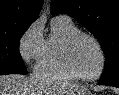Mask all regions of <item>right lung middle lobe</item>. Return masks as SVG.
<instances>
[{
    "label": "right lung middle lobe",
    "mask_w": 119,
    "mask_h": 95,
    "mask_svg": "<svg viewBox=\"0 0 119 95\" xmlns=\"http://www.w3.org/2000/svg\"><path fill=\"white\" fill-rule=\"evenodd\" d=\"M30 24L0 28V71L27 74L19 53V40Z\"/></svg>",
    "instance_id": "1"
}]
</instances>
